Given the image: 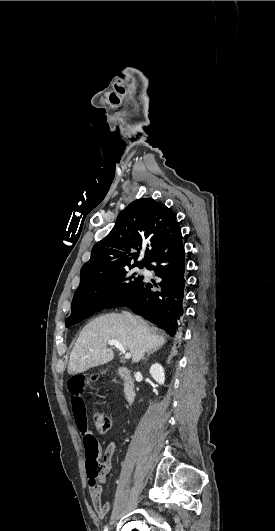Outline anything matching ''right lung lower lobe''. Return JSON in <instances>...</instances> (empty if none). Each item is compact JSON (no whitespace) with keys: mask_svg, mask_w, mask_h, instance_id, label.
<instances>
[{"mask_svg":"<svg viewBox=\"0 0 275 531\" xmlns=\"http://www.w3.org/2000/svg\"><path fill=\"white\" fill-rule=\"evenodd\" d=\"M184 256L182 235L180 227H177L145 266L154 270L161 281L151 284L142 280L120 306L130 308L134 313L166 330L171 336L176 334L181 328L180 317L183 314Z\"/></svg>","mask_w":275,"mask_h":531,"instance_id":"1","label":"right lung lower lobe"}]
</instances>
